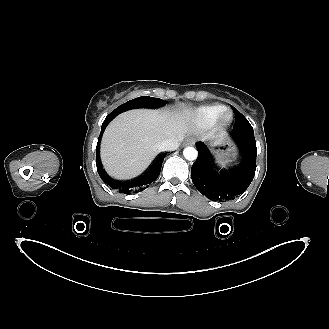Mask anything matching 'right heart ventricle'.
<instances>
[{
    "instance_id": "e07e8e85",
    "label": "right heart ventricle",
    "mask_w": 329,
    "mask_h": 329,
    "mask_svg": "<svg viewBox=\"0 0 329 329\" xmlns=\"http://www.w3.org/2000/svg\"><path fill=\"white\" fill-rule=\"evenodd\" d=\"M224 110L225 106L223 105L203 106L196 108L189 114L197 124L207 126L216 121Z\"/></svg>"
}]
</instances>
